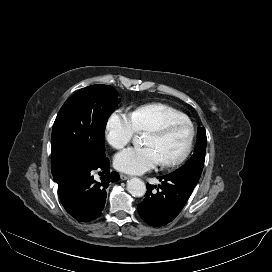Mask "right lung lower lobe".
Wrapping results in <instances>:
<instances>
[{"label":"right lung lower lobe","mask_w":272,"mask_h":272,"mask_svg":"<svg viewBox=\"0 0 272 272\" xmlns=\"http://www.w3.org/2000/svg\"><path fill=\"white\" fill-rule=\"evenodd\" d=\"M94 170L102 171L101 180L95 181ZM101 173V172H100ZM119 174L110 172L107 157L78 165L55 179L58 193L66 211L80 222H90L101 215L106 202V189L110 182L118 181Z\"/></svg>","instance_id":"right-lung-lower-lobe-1"}]
</instances>
